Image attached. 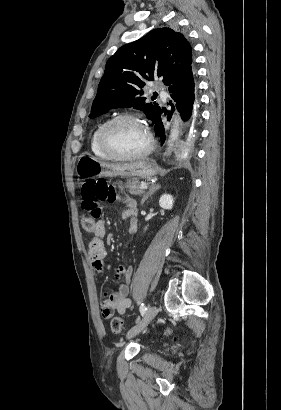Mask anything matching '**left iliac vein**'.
Masks as SVG:
<instances>
[{"label":"left iliac vein","mask_w":281,"mask_h":410,"mask_svg":"<svg viewBox=\"0 0 281 410\" xmlns=\"http://www.w3.org/2000/svg\"><path fill=\"white\" fill-rule=\"evenodd\" d=\"M157 312L158 310L156 306H149L143 318L133 328H131L128 331L126 339H131L135 337L144 328H146L148 324L152 321V319L156 316Z\"/></svg>","instance_id":"4c4485c4"}]
</instances>
